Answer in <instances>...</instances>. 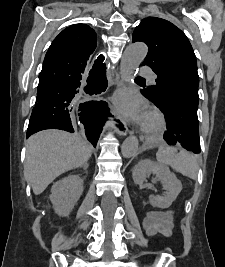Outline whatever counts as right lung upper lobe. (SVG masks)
Instances as JSON below:
<instances>
[{
  "mask_svg": "<svg viewBox=\"0 0 225 267\" xmlns=\"http://www.w3.org/2000/svg\"><path fill=\"white\" fill-rule=\"evenodd\" d=\"M96 33L85 24H75L64 29L52 42L49 49L72 48L93 53L96 48ZM102 63V62H100Z\"/></svg>",
  "mask_w": 225,
  "mask_h": 267,
  "instance_id": "right-lung-upper-lobe-1",
  "label": "right lung upper lobe"
}]
</instances>
